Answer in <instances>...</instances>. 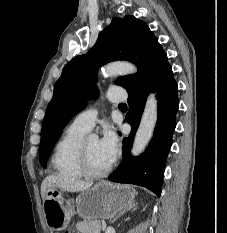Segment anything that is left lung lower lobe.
I'll return each instance as SVG.
<instances>
[{
	"instance_id": "obj_1",
	"label": "left lung lower lobe",
	"mask_w": 227,
	"mask_h": 233,
	"mask_svg": "<svg viewBox=\"0 0 227 233\" xmlns=\"http://www.w3.org/2000/svg\"><path fill=\"white\" fill-rule=\"evenodd\" d=\"M148 89L149 87L128 93L129 113L126 115V121L132 127L131 133L123 138V161L109 176V180L140 185L160 196L165 163L172 144L179 107L178 86L171 66H168L151 86V90L156 92L159 101L158 120L153 138L143 154L132 157L130 149L141 120Z\"/></svg>"
}]
</instances>
